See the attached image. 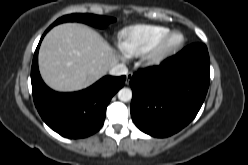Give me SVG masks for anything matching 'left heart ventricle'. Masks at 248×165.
Listing matches in <instances>:
<instances>
[{"instance_id": "left-heart-ventricle-1", "label": "left heart ventricle", "mask_w": 248, "mask_h": 165, "mask_svg": "<svg viewBox=\"0 0 248 165\" xmlns=\"http://www.w3.org/2000/svg\"><path fill=\"white\" fill-rule=\"evenodd\" d=\"M176 40H177V37H173V38L171 39L170 43H173V42H175Z\"/></svg>"}]
</instances>
